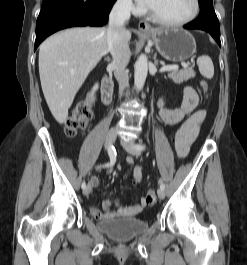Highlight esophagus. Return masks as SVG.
Instances as JSON below:
<instances>
[{
  "label": "esophagus",
  "mask_w": 247,
  "mask_h": 265,
  "mask_svg": "<svg viewBox=\"0 0 247 265\" xmlns=\"http://www.w3.org/2000/svg\"><path fill=\"white\" fill-rule=\"evenodd\" d=\"M138 29L141 31V32H151L152 31V28L150 26L149 23H147L146 21L144 20H141L138 24Z\"/></svg>",
  "instance_id": "obj_1"
}]
</instances>
